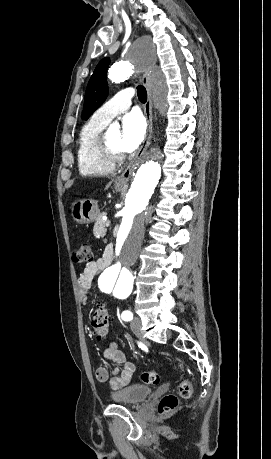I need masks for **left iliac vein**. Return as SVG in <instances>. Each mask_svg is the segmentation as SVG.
Here are the masks:
<instances>
[{"mask_svg": "<svg viewBox=\"0 0 271 459\" xmlns=\"http://www.w3.org/2000/svg\"><path fill=\"white\" fill-rule=\"evenodd\" d=\"M131 329L138 337H142L143 332L141 330V320L139 317L135 316L131 321Z\"/></svg>", "mask_w": 271, "mask_h": 459, "instance_id": "left-iliac-vein-1", "label": "left iliac vein"}]
</instances>
